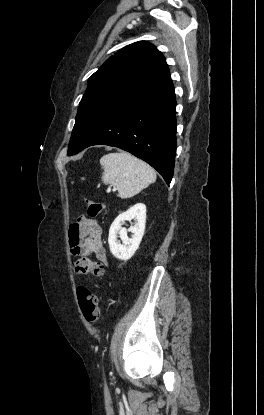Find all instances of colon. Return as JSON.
<instances>
[{"label":"colon","mask_w":264,"mask_h":415,"mask_svg":"<svg viewBox=\"0 0 264 415\" xmlns=\"http://www.w3.org/2000/svg\"><path fill=\"white\" fill-rule=\"evenodd\" d=\"M102 212V205L96 200H89L87 205V215L90 218L99 216ZM77 270L82 272H90L98 275L102 271V267L94 260L82 257L75 262ZM77 302L81 314L90 323L95 324L99 320V303L97 296L86 287L77 289Z\"/></svg>","instance_id":"5ec220e1"}]
</instances>
